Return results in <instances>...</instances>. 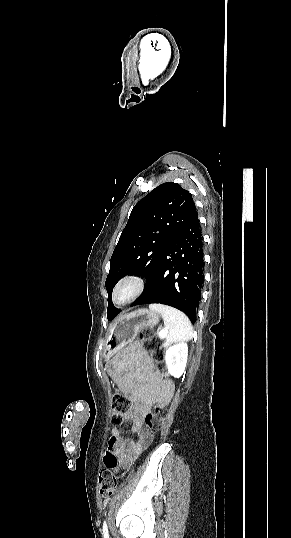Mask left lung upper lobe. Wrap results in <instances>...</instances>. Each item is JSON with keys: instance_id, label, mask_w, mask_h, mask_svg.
<instances>
[{"instance_id": "left-lung-upper-lobe-1", "label": "left lung upper lobe", "mask_w": 291, "mask_h": 538, "mask_svg": "<svg viewBox=\"0 0 291 538\" xmlns=\"http://www.w3.org/2000/svg\"><path fill=\"white\" fill-rule=\"evenodd\" d=\"M197 214L192 195L179 184L159 185L133 208L110 260L105 286L107 317L119 312L112 303V290L125 275L151 277L160 257L174 237Z\"/></svg>"}]
</instances>
